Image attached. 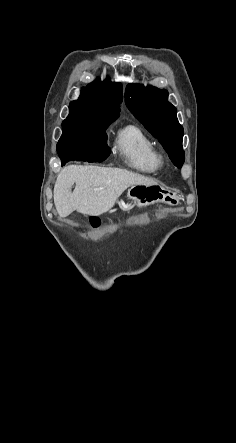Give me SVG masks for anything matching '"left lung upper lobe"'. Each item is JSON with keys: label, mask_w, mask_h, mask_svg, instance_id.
I'll list each match as a JSON object with an SVG mask.
<instances>
[{"label": "left lung upper lobe", "mask_w": 236, "mask_h": 443, "mask_svg": "<svg viewBox=\"0 0 236 443\" xmlns=\"http://www.w3.org/2000/svg\"><path fill=\"white\" fill-rule=\"evenodd\" d=\"M167 98L166 90L142 84H129L125 91L129 110L159 139L174 165L181 168L185 159L182 148L184 130L178 122L176 108Z\"/></svg>", "instance_id": "left-lung-upper-lobe-1"}]
</instances>
